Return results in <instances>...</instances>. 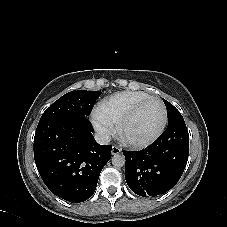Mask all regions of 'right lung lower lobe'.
Returning a JSON list of instances; mask_svg holds the SVG:
<instances>
[{"label": "right lung lower lobe", "instance_id": "right-lung-lower-lobe-1", "mask_svg": "<svg viewBox=\"0 0 227 227\" xmlns=\"http://www.w3.org/2000/svg\"><path fill=\"white\" fill-rule=\"evenodd\" d=\"M87 118L40 120L34 137L38 172L56 196L72 203L95 192L101 170L111 158V145L98 144Z\"/></svg>", "mask_w": 227, "mask_h": 227}]
</instances>
